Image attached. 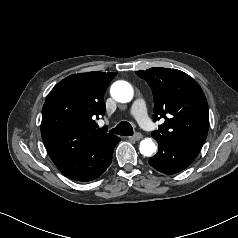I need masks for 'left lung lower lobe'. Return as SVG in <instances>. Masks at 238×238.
<instances>
[{"instance_id":"left-lung-lower-lobe-1","label":"left lung lower lobe","mask_w":238,"mask_h":238,"mask_svg":"<svg viewBox=\"0 0 238 238\" xmlns=\"http://www.w3.org/2000/svg\"><path fill=\"white\" fill-rule=\"evenodd\" d=\"M159 149L149 159V164L160 172L174 174L187 168L200 150L183 146L172 141H158Z\"/></svg>"}]
</instances>
